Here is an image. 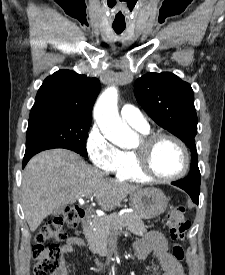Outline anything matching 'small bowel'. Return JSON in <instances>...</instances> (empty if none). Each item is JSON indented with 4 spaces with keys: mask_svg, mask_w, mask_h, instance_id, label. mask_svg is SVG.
<instances>
[{
    "mask_svg": "<svg viewBox=\"0 0 225 275\" xmlns=\"http://www.w3.org/2000/svg\"><path fill=\"white\" fill-rule=\"evenodd\" d=\"M84 241L78 236H71L61 247L65 254H71L76 247H84ZM134 254L139 259H145L153 253L162 268V275H185L181 264L169 253L166 237L159 232H149L133 246Z\"/></svg>",
    "mask_w": 225,
    "mask_h": 275,
    "instance_id": "1",
    "label": "small bowel"
}]
</instances>
